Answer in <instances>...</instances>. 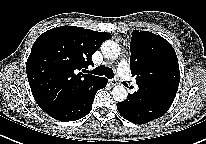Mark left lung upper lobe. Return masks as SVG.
Returning a JSON list of instances; mask_svg holds the SVG:
<instances>
[{"instance_id":"1","label":"left lung upper lobe","mask_w":206,"mask_h":144,"mask_svg":"<svg viewBox=\"0 0 206 144\" xmlns=\"http://www.w3.org/2000/svg\"><path fill=\"white\" fill-rule=\"evenodd\" d=\"M130 51V68L138 86H145L150 96L169 94L175 98L180 71L171 44L149 31L134 30Z\"/></svg>"}]
</instances>
